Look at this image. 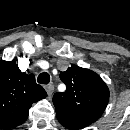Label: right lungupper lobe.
Returning a JSON list of instances; mask_svg holds the SVG:
<instances>
[{
	"instance_id": "obj_1",
	"label": "right lung upper lobe",
	"mask_w": 130,
	"mask_h": 130,
	"mask_svg": "<svg viewBox=\"0 0 130 130\" xmlns=\"http://www.w3.org/2000/svg\"><path fill=\"white\" fill-rule=\"evenodd\" d=\"M46 96L33 74L21 72L13 61L0 60V128L24 123L32 104Z\"/></svg>"
}]
</instances>
